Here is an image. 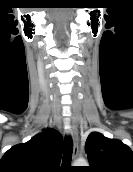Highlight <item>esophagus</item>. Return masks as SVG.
Returning a JSON list of instances; mask_svg holds the SVG:
<instances>
[{"mask_svg": "<svg viewBox=\"0 0 133 172\" xmlns=\"http://www.w3.org/2000/svg\"><path fill=\"white\" fill-rule=\"evenodd\" d=\"M68 123H69V132L73 140V157L75 158L78 154V133L74 122L69 120Z\"/></svg>", "mask_w": 133, "mask_h": 172, "instance_id": "obj_1", "label": "esophagus"}]
</instances>
